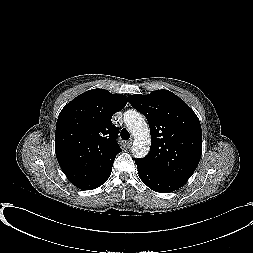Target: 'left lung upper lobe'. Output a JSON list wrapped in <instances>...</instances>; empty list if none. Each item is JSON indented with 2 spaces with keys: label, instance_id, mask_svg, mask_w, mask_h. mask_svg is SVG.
Instances as JSON below:
<instances>
[{
  "label": "left lung upper lobe",
  "instance_id": "5c2ea615",
  "mask_svg": "<svg viewBox=\"0 0 253 253\" xmlns=\"http://www.w3.org/2000/svg\"><path fill=\"white\" fill-rule=\"evenodd\" d=\"M128 101L150 127V151L140 160L153 171L185 184L202 154V130L196 114L168 90L130 95Z\"/></svg>",
  "mask_w": 253,
  "mask_h": 253
}]
</instances>
